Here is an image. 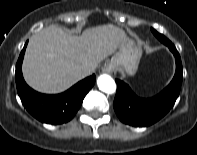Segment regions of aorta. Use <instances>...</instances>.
I'll list each match as a JSON object with an SVG mask.
<instances>
[{
    "mask_svg": "<svg viewBox=\"0 0 197 155\" xmlns=\"http://www.w3.org/2000/svg\"><path fill=\"white\" fill-rule=\"evenodd\" d=\"M97 85L102 92L113 94L116 91V83L113 78L107 74L100 75L97 79Z\"/></svg>",
    "mask_w": 197,
    "mask_h": 155,
    "instance_id": "aorta-1",
    "label": "aorta"
}]
</instances>
